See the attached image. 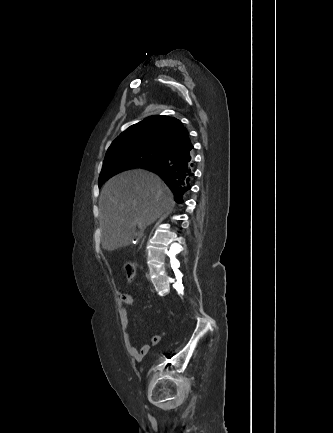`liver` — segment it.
Masks as SVG:
<instances>
[{
	"mask_svg": "<svg viewBox=\"0 0 333 433\" xmlns=\"http://www.w3.org/2000/svg\"><path fill=\"white\" fill-rule=\"evenodd\" d=\"M174 206L172 192L157 175L134 169L114 176L104 185L99 199L103 249L113 251L131 245L136 226L143 232Z\"/></svg>",
	"mask_w": 333,
	"mask_h": 433,
	"instance_id": "1",
	"label": "liver"
}]
</instances>
